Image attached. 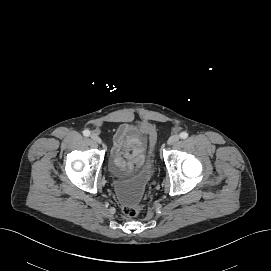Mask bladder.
Listing matches in <instances>:
<instances>
[{"mask_svg":"<svg viewBox=\"0 0 271 271\" xmlns=\"http://www.w3.org/2000/svg\"><path fill=\"white\" fill-rule=\"evenodd\" d=\"M153 172V165L148 163L130 179L114 180L112 186L117 200L128 205L138 203L153 177Z\"/></svg>","mask_w":271,"mask_h":271,"instance_id":"31cf9c89","label":"bladder"}]
</instances>
